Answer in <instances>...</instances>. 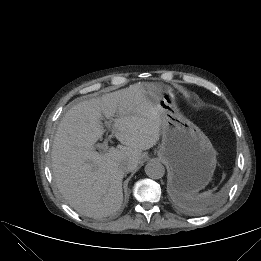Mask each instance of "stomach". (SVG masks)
I'll use <instances>...</instances> for the list:
<instances>
[{
    "label": "stomach",
    "instance_id": "0dacf381",
    "mask_svg": "<svg viewBox=\"0 0 261 261\" xmlns=\"http://www.w3.org/2000/svg\"><path fill=\"white\" fill-rule=\"evenodd\" d=\"M144 89L158 98L162 110L158 157L169 168V187L175 196L196 194L212 179L216 151L207 136L180 113L170 90L155 83H145Z\"/></svg>",
    "mask_w": 261,
    "mask_h": 261
}]
</instances>
